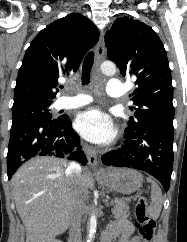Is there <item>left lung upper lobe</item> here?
<instances>
[{
  "label": "left lung upper lobe",
  "instance_id": "1",
  "mask_svg": "<svg viewBox=\"0 0 187 242\" xmlns=\"http://www.w3.org/2000/svg\"><path fill=\"white\" fill-rule=\"evenodd\" d=\"M108 58L121 75L136 77L130 95L136 107L125 132L139 135L146 131H173V86L164 46L146 24L128 17L118 18L105 35Z\"/></svg>",
  "mask_w": 187,
  "mask_h": 242
}]
</instances>
